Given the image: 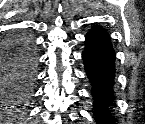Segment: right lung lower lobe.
<instances>
[{
    "instance_id": "right-lung-lower-lobe-1",
    "label": "right lung lower lobe",
    "mask_w": 145,
    "mask_h": 124,
    "mask_svg": "<svg viewBox=\"0 0 145 124\" xmlns=\"http://www.w3.org/2000/svg\"><path fill=\"white\" fill-rule=\"evenodd\" d=\"M8 46L9 53L0 62V106L24 111L29 109L27 105L35 92V43L29 35H16L10 39Z\"/></svg>"
}]
</instances>
